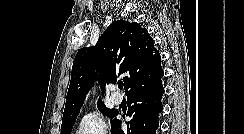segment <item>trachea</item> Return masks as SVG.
<instances>
[{"label": "trachea", "instance_id": "obj_1", "mask_svg": "<svg viewBox=\"0 0 244 134\" xmlns=\"http://www.w3.org/2000/svg\"><path fill=\"white\" fill-rule=\"evenodd\" d=\"M123 86H124V84H123V83L118 84V88H119V89H123Z\"/></svg>", "mask_w": 244, "mask_h": 134}]
</instances>
